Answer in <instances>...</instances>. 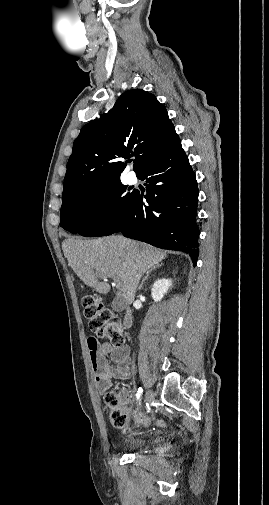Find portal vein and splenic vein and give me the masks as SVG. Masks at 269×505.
<instances>
[{
    "mask_svg": "<svg viewBox=\"0 0 269 505\" xmlns=\"http://www.w3.org/2000/svg\"><path fill=\"white\" fill-rule=\"evenodd\" d=\"M99 277H100V278H102V279H104L105 281H107V277H105V276H103V275H102V276H100V275H99ZM114 285H115V287H116L117 289H119V290H120V285H119V284H117V283L115 282V283H114Z\"/></svg>",
    "mask_w": 269,
    "mask_h": 505,
    "instance_id": "1",
    "label": "portal vein and splenic vein"
}]
</instances>
